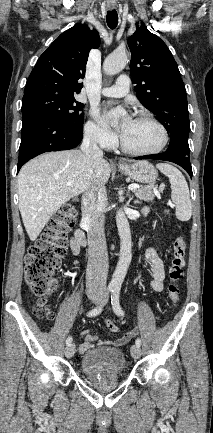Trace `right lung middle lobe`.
<instances>
[{"mask_svg":"<svg viewBox=\"0 0 213 433\" xmlns=\"http://www.w3.org/2000/svg\"><path fill=\"white\" fill-rule=\"evenodd\" d=\"M83 108L84 105L74 95L36 93L22 99V112L36 110L45 113L78 131L83 128Z\"/></svg>","mask_w":213,"mask_h":433,"instance_id":"dd1d6c3e","label":"right lung middle lobe"}]
</instances>
